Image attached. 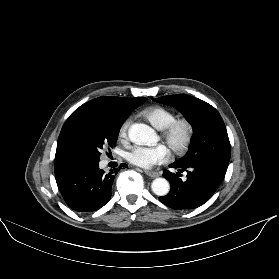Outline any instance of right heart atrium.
Segmentation results:
<instances>
[{"mask_svg":"<svg viewBox=\"0 0 279 279\" xmlns=\"http://www.w3.org/2000/svg\"><path fill=\"white\" fill-rule=\"evenodd\" d=\"M132 117L129 116L127 117L121 124L120 126V129H119V136L121 138H126L127 137V134H128V131H129V128L132 124Z\"/></svg>","mask_w":279,"mask_h":279,"instance_id":"d8ad5b80","label":"right heart atrium"}]
</instances>
